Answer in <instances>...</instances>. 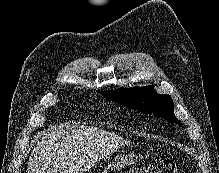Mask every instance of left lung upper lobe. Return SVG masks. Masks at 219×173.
Wrapping results in <instances>:
<instances>
[{
	"label": "left lung upper lobe",
	"mask_w": 219,
	"mask_h": 173,
	"mask_svg": "<svg viewBox=\"0 0 219 173\" xmlns=\"http://www.w3.org/2000/svg\"><path fill=\"white\" fill-rule=\"evenodd\" d=\"M102 95L118 104L135 108L138 111L155 113L169 122H180L174 115L172 98L169 95L157 94L153 86L104 91Z\"/></svg>",
	"instance_id": "left-lung-upper-lobe-1"
}]
</instances>
